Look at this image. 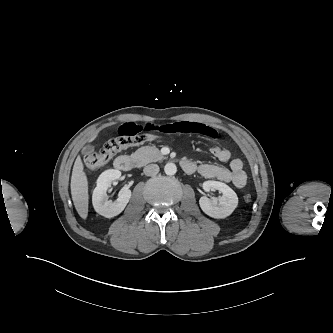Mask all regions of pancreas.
Segmentation results:
<instances>
[{
	"mask_svg": "<svg viewBox=\"0 0 333 333\" xmlns=\"http://www.w3.org/2000/svg\"><path fill=\"white\" fill-rule=\"evenodd\" d=\"M131 157L139 167L150 162L162 161L165 156L155 146H144L135 151Z\"/></svg>",
	"mask_w": 333,
	"mask_h": 333,
	"instance_id": "1",
	"label": "pancreas"
}]
</instances>
